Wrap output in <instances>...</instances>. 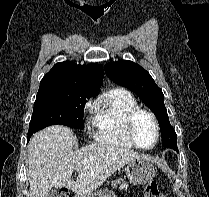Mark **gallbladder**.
Returning a JSON list of instances; mask_svg holds the SVG:
<instances>
[{"label": "gallbladder", "instance_id": "bac80fb5", "mask_svg": "<svg viewBox=\"0 0 209 197\" xmlns=\"http://www.w3.org/2000/svg\"><path fill=\"white\" fill-rule=\"evenodd\" d=\"M57 194H58L57 189H51V190L48 192V194H47L46 197H58Z\"/></svg>", "mask_w": 209, "mask_h": 197}]
</instances>
